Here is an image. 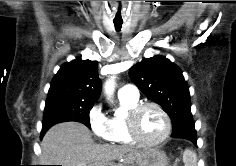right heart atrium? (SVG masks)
<instances>
[{
  "label": "right heart atrium",
  "instance_id": "right-heart-atrium-1",
  "mask_svg": "<svg viewBox=\"0 0 236 166\" xmlns=\"http://www.w3.org/2000/svg\"><path fill=\"white\" fill-rule=\"evenodd\" d=\"M88 124L92 133L99 139L109 140V118L100 103L94 104L88 111Z\"/></svg>",
  "mask_w": 236,
  "mask_h": 166
}]
</instances>
